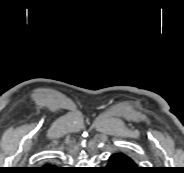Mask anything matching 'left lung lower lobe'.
I'll return each mask as SVG.
<instances>
[{
	"label": "left lung lower lobe",
	"instance_id": "1",
	"mask_svg": "<svg viewBox=\"0 0 184 173\" xmlns=\"http://www.w3.org/2000/svg\"><path fill=\"white\" fill-rule=\"evenodd\" d=\"M108 165L110 173H143V168L138 167L134 160L123 152L112 154Z\"/></svg>",
	"mask_w": 184,
	"mask_h": 173
}]
</instances>
